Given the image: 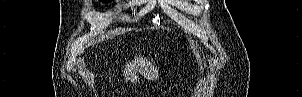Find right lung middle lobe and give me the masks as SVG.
Segmentation results:
<instances>
[{"mask_svg": "<svg viewBox=\"0 0 302 97\" xmlns=\"http://www.w3.org/2000/svg\"><path fill=\"white\" fill-rule=\"evenodd\" d=\"M102 1V0H101ZM109 0H107V1H102V2H108Z\"/></svg>", "mask_w": 302, "mask_h": 97, "instance_id": "right-lung-middle-lobe-1", "label": "right lung middle lobe"}]
</instances>
